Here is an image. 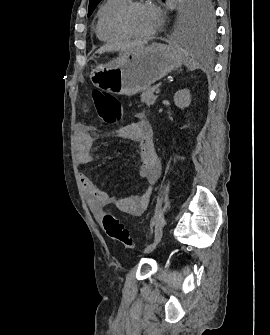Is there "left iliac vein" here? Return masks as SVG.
<instances>
[{
  "label": "left iliac vein",
  "instance_id": "left-iliac-vein-1",
  "mask_svg": "<svg viewBox=\"0 0 270 335\" xmlns=\"http://www.w3.org/2000/svg\"><path fill=\"white\" fill-rule=\"evenodd\" d=\"M158 245V242H154L150 245H148L145 249H144V253H150L152 252Z\"/></svg>",
  "mask_w": 270,
  "mask_h": 335
}]
</instances>
